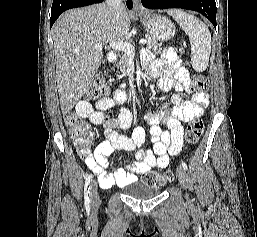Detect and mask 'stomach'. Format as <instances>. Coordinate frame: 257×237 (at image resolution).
<instances>
[{
    "instance_id": "stomach-1",
    "label": "stomach",
    "mask_w": 257,
    "mask_h": 237,
    "mask_svg": "<svg viewBox=\"0 0 257 237\" xmlns=\"http://www.w3.org/2000/svg\"><path fill=\"white\" fill-rule=\"evenodd\" d=\"M149 36L156 41H168L174 37L176 28L172 21L149 11L138 16Z\"/></svg>"
}]
</instances>
